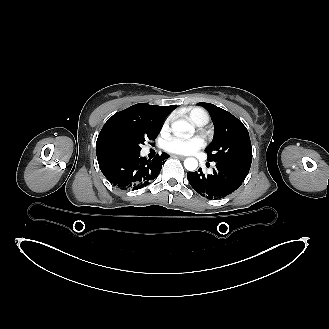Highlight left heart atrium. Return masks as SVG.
I'll list each match as a JSON object with an SVG mask.
<instances>
[{"label": "left heart atrium", "mask_w": 329, "mask_h": 329, "mask_svg": "<svg viewBox=\"0 0 329 329\" xmlns=\"http://www.w3.org/2000/svg\"><path fill=\"white\" fill-rule=\"evenodd\" d=\"M205 145L201 136L191 138L170 137L164 143L166 151L174 154L188 155L193 154Z\"/></svg>", "instance_id": "obj_1"}]
</instances>
